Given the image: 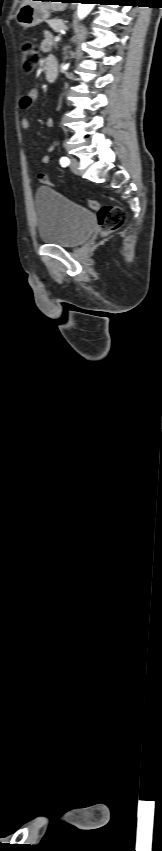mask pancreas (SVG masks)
<instances>
[{"label": "pancreas", "instance_id": "1", "mask_svg": "<svg viewBox=\"0 0 162 851\" xmlns=\"http://www.w3.org/2000/svg\"><path fill=\"white\" fill-rule=\"evenodd\" d=\"M49 26L55 31L59 32L61 30H66L67 27L62 20L53 19L48 21Z\"/></svg>", "mask_w": 162, "mask_h": 851}]
</instances>
